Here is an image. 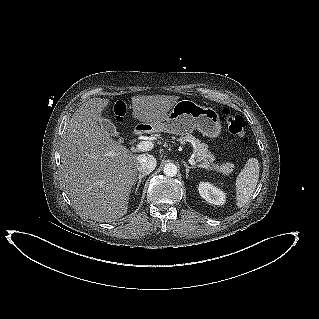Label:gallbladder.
<instances>
[{
	"label": "gallbladder",
	"mask_w": 319,
	"mask_h": 319,
	"mask_svg": "<svg viewBox=\"0 0 319 319\" xmlns=\"http://www.w3.org/2000/svg\"><path fill=\"white\" fill-rule=\"evenodd\" d=\"M98 123L110 136L117 137L119 142H123V138L119 136L115 125L109 119L101 117Z\"/></svg>",
	"instance_id": "obj_1"
}]
</instances>
